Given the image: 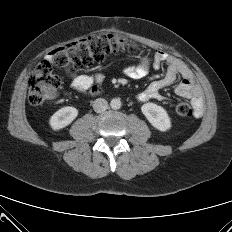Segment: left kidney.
I'll return each mask as SVG.
<instances>
[{
	"label": "left kidney",
	"mask_w": 232,
	"mask_h": 232,
	"mask_svg": "<svg viewBox=\"0 0 232 232\" xmlns=\"http://www.w3.org/2000/svg\"><path fill=\"white\" fill-rule=\"evenodd\" d=\"M141 111L157 130L164 132L171 128L170 117L163 107L149 102L142 105Z\"/></svg>",
	"instance_id": "1"
}]
</instances>
